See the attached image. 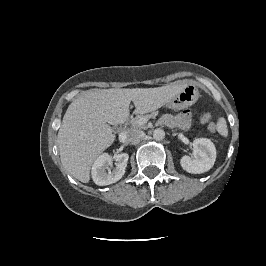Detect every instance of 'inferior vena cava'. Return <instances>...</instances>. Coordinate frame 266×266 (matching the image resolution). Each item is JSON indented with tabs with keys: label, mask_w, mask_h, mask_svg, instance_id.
<instances>
[{
	"label": "inferior vena cava",
	"mask_w": 266,
	"mask_h": 266,
	"mask_svg": "<svg viewBox=\"0 0 266 266\" xmlns=\"http://www.w3.org/2000/svg\"><path fill=\"white\" fill-rule=\"evenodd\" d=\"M125 141L134 142L142 139L145 136V133L140 130L130 129L125 132Z\"/></svg>",
	"instance_id": "1"
}]
</instances>
